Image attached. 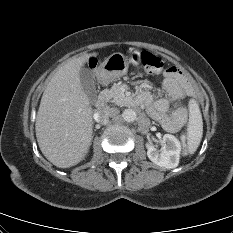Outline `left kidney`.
<instances>
[{
  "label": "left kidney",
  "mask_w": 233,
  "mask_h": 233,
  "mask_svg": "<svg viewBox=\"0 0 233 233\" xmlns=\"http://www.w3.org/2000/svg\"><path fill=\"white\" fill-rule=\"evenodd\" d=\"M147 156L156 165L167 169L177 167L181 153V143L173 135L165 134L162 139V148L157 150L147 143Z\"/></svg>",
  "instance_id": "1"
}]
</instances>
